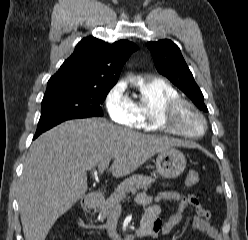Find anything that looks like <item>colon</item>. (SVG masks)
Listing matches in <instances>:
<instances>
[{
    "label": "colon",
    "instance_id": "5ec220e1",
    "mask_svg": "<svg viewBox=\"0 0 248 240\" xmlns=\"http://www.w3.org/2000/svg\"><path fill=\"white\" fill-rule=\"evenodd\" d=\"M199 180V174L196 171H190L186 176V184L189 186L195 185Z\"/></svg>",
    "mask_w": 248,
    "mask_h": 240
}]
</instances>
